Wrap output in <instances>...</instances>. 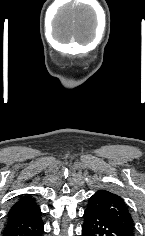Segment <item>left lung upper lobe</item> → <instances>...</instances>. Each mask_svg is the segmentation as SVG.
Instances as JSON below:
<instances>
[{"mask_svg":"<svg viewBox=\"0 0 145 236\" xmlns=\"http://www.w3.org/2000/svg\"><path fill=\"white\" fill-rule=\"evenodd\" d=\"M87 208L101 214L134 236V222L124 200L112 192L98 190L89 198Z\"/></svg>","mask_w":145,"mask_h":236,"instance_id":"1","label":"left lung upper lobe"}]
</instances>
